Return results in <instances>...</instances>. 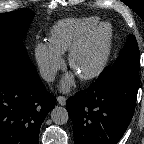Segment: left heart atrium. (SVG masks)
<instances>
[{"label":"left heart atrium","mask_w":144,"mask_h":144,"mask_svg":"<svg viewBox=\"0 0 144 144\" xmlns=\"http://www.w3.org/2000/svg\"><path fill=\"white\" fill-rule=\"evenodd\" d=\"M73 82H74L73 75H67L66 77H64L62 82H61L62 90H64V91L69 90L70 87L72 86Z\"/></svg>","instance_id":"1"}]
</instances>
